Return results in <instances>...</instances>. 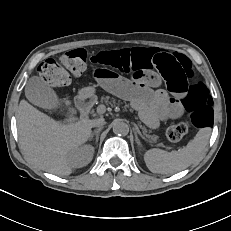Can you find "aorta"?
Listing matches in <instances>:
<instances>
[{
	"label": "aorta",
	"mask_w": 231,
	"mask_h": 231,
	"mask_svg": "<svg viewBox=\"0 0 231 231\" xmlns=\"http://www.w3.org/2000/svg\"><path fill=\"white\" fill-rule=\"evenodd\" d=\"M113 132L120 136H126L129 133V126L120 120L113 122Z\"/></svg>",
	"instance_id": "aorta-1"
}]
</instances>
